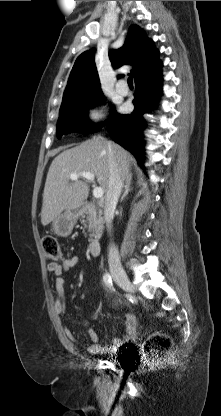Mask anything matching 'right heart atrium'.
Returning <instances> with one entry per match:
<instances>
[{
  "label": "right heart atrium",
  "mask_w": 221,
  "mask_h": 416,
  "mask_svg": "<svg viewBox=\"0 0 221 416\" xmlns=\"http://www.w3.org/2000/svg\"><path fill=\"white\" fill-rule=\"evenodd\" d=\"M86 118L89 123H101L105 118V106L102 104H95L91 106L86 112Z\"/></svg>",
  "instance_id": "obj_1"
}]
</instances>
